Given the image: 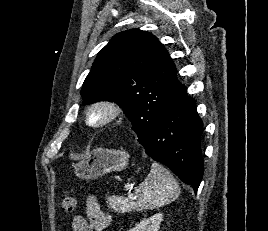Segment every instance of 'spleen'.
Masks as SVG:
<instances>
[{
    "label": "spleen",
    "mask_w": 268,
    "mask_h": 231,
    "mask_svg": "<svg viewBox=\"0 0 268 231\" xmlns=\"http://www.w3.org/2000/svg\"><path fill=\"white\" fill-rule=\"evenodd\" d=\"M180 194L178 182L161 164L153 162L150 173L135 189L132 199L118 196L108 197L110 207L117 212L155 209L175 201Z\"/></svg>",
    "instance_id": "obj_1"
}]
</instances>
